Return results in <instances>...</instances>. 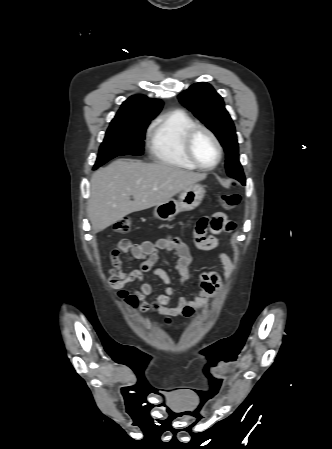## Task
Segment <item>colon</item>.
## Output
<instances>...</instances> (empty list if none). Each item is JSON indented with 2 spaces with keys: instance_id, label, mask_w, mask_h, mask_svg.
I'll list each match as a JSON object with an SVG mask.
<instances>
[{
  "instance_id": "colon-1",
  "label": "colon",
  "mask_w": 332,
  "mask_h": 449,
  "mask_svg": "<svg viewBox=\"0 0 332 449\" xmlns=\"http://www.w3.org/2000/svg\"><path fill=\"white\" fill-rule=\"evenodd\" d=\"M220 205L226 209L230 210L235 208L240 202V196L236 193H225L219 196ZM132 222L129 219H121L115 225V231L118 233H127L131 230ZM129 241L123 240L119 245L112 250L110 254L111 261L115 266L121 265V257L124 253L129 251ZM121 297L125 298L130 304L135 303V298L133 296L127 295L124 291L120 292ZM169 323L170 320L166 319Z\"/></svg>"
}]
</instances>
